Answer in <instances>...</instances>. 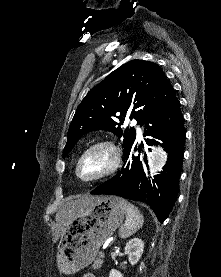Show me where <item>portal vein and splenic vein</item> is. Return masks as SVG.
<instances>
[{
  "label": "portal vein and splenic vein",
  "mask_w": 221,
  "mask_h": 277,
  "mask_svg": "<svg viewBox=\"0 0 221 277\" xmlns=\"http://www.w3.org/2000/svg\"><path fill=\"white\" fill-rule=\"evenodd\" d=\"M99 255L104 256V252L101 251V252L99 253Z\"/></svg>",
  "instance_id": "portal-vein-and-splenic-vein-1"
}]
</instances>
